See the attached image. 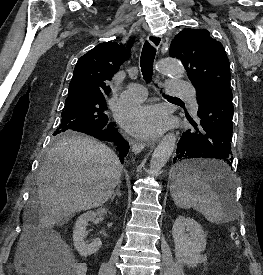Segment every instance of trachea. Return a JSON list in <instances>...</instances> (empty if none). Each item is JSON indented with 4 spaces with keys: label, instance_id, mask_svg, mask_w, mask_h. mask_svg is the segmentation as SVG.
<instances>
[{
    "label": "trachea",
    "instance_id": "obj_1",
    "mask_svg": "<svg viewBox=\"0 0 263 275\" xmlns=\"http://www.w3.org/2000/svg\"><path fill=\"white\" fill-rule=\"evenodd\" d=\"M156 55V49L146 41L144 43L142 53H141V60L140 66L141 71L143 74L144 79L149 82L153 75V62ZM168 99H178L177 97L165 96Z\"/></svg>",
    "mask_w": 263,
    "mask_h": 275
}]
</instances>
